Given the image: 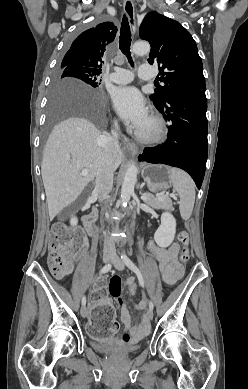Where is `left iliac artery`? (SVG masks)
<instances>
[{
    "label": "left iliac artery",
    "mask_w": 248,
    "mask_h": 389,
    "mask_svg": "<svg viewBox=\"0 0 248 389\" xmlns=\"http://www.w3.org/2000/svg\"><path fill=\"white\" fill-rule=\"evenodd\" d=\"M121 259L123 260L125 265L137 275L140 285L144 287V280L137 266L130 260V258L125 253L121 254ZM149 309L153 310V303L150 300H149Z\"/></svg>",
    "instance_id": "1"
}]
</instances>
